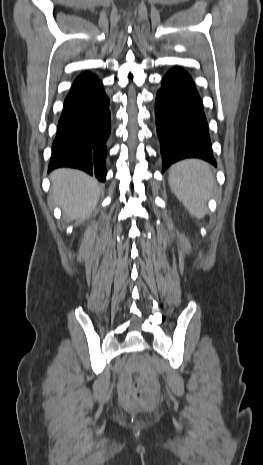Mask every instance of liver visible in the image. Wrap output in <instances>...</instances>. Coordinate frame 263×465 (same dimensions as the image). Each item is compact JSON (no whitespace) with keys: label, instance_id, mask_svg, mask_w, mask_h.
Instances as JSON below:
<instances>
[{"label":"liver","instance_id":"obj_1","mask_svg":"<svg viewBox=\"0 0 263 465\" xmlns=\"http://www.w3.org/2000/svg\"><path fill=\"white\" fill-rule=\"evenodd\" d=\"M51 195L70 220L83 221L97 206L101 187L97 180L74 169H57L50 175Z\"/></svg>","mask_w":263,"mask_h":465}]
</instances>
